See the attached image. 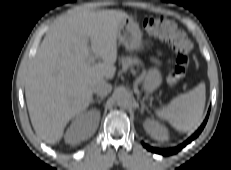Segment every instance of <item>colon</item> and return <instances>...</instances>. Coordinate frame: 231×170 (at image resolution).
<instances>
[{
  "label": "colon",
  "mask_w": 231,
  "mask_h": 170,
  "mask_svg": "<svg viewBox=\"0 0 231 170\" xmlns=\"http://www.w3.org/2000/svg\"><path fill=\"white\" fill-rule=\"evenodd\" d=\"M142 27L147 33L167 42L176 51V65L166 77L167 85L175 87L183 78L189 64V52L191 48L189 40L173 22L164 18H144Z\"/></svg>",
  "instance_id": "1"
}]
</instances>
